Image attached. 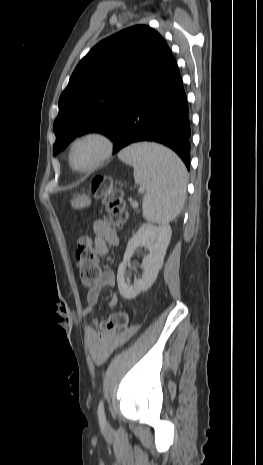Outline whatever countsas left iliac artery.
Instances as JSON below:
<instances>
[{"label":"left iliac artery","mask_w":263,"mask_h":465,"mask_svg":"<svg viewBox=\"0 0 263 465\" xmlns=\"http://www.w3.org/2000/svg\"><path fill=\"white\" fill-rule=\"evenodd\" d=\"M98 418H99V422L101 424L106 423V417H105V412H104V403H103L102 400L99 402V405H98Z\"/></svg>","instance_id":"obj_1"}]
</instances>
